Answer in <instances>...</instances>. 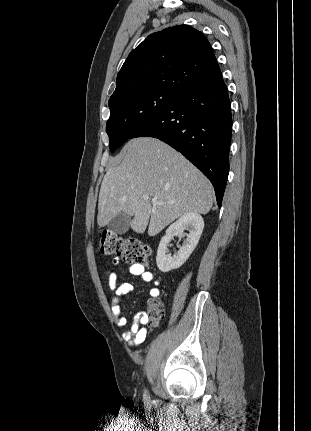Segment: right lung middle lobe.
I'll use <instances>...</instances> for the list:
<instances>
[{"instance_id": "right-lung-middle-lobe-1", "label": "right lung middle lobe", "mask_w": 311, "mask_h": 431, "mask_svg": "<svg viewBox=\"0 0 311 431\" xmlns=\"http://www.w3.org/2000/svg\"><path fill=\"white\" fill-rule=\"evenodd\" d=\"M178 93L140 90L109 100L110 118L106 124L109 147L114 152L148 120L169 106Z\"/></svg>"}]
</instances>
